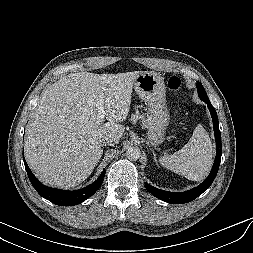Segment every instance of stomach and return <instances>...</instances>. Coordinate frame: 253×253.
I'll return each instance as SVG.
<instances>
[{
	"label": "stomach",
	"instance_id": "0dacf381",
	"mask_svg": "<svg viewBox=\"0 0 253 253\" xmlns=\"http://www.w3.org/2000/svg\"><path fill=\"white\" fill-rule=\"evenodd\" d=\"M134 88L147 105L145 125L148 129V140L152 146L161 144L170 122L164 79L158 73L144 72L137 77Z\"/></svg>",
	"mask_w": 253,
	"mask_h": 253
}]
</instances>
